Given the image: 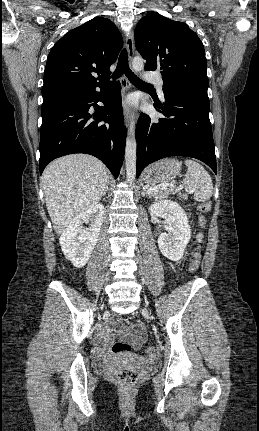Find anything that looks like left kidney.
I'll return each instance as SVG.
<instances>
[{
    "instance_id": "obj_1",
    "label": "left kidney",
    "mask_w": 259,
    "mask_h": 431,
    "mask_svg": "<svg viewBox=\"0 0 259 431\" xmlns=\"http://www.w3.org/2000/svg\"><path fill=\"white\" fill-rule=\"evenodd\" d=\"M149 211L172 224L169 233H161L158 237V246L162 254L171 261H179L191 238V229L188 217L181 206L171 200H162L151 204Z\"/></svg>"
}]
</instances>
